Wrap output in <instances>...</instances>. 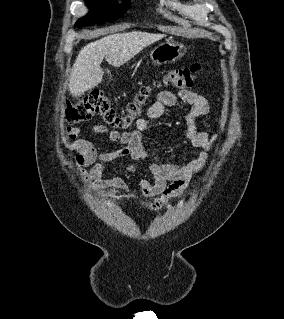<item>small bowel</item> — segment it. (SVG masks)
Wrapping results in <instances>:
<instances>
[{
    "mask_svg": "<svg viewBox=\"0 0 284 319\" xmlns=\"http://www.w3.org/2000/svg\"><path fill=\"white\" fill-rule=\"evenodd\" d=\"M189 105L186 115L184 135L189 143L202 150L200 156L193 162L180 165L175 162L164 161L153 157L149 169L152 180L140 178L139 185L142 194L152 199L140 202V206L151 212H159L168 202L186 190L194 176L203 171L209 163V153L213 150L218 135H210L207 131L197 127V119L210 111L207 99L193 91L181 89L177 94L161 91L154 104L147 112V118H139L135 129L131 132L118 133L104 125H95L93 132L106 136L109 141L121 144V147L104 153H98L94 145L87 139L78 138L80 128H68L66 138L69 141L68 151L76 153L75 167L84 185L93 191L114 190L124 198H130L129 186L119 177L104 179L102 173L107 164L120 158L142 161L150 157L146 150L142 134L148 126V119L156 120L163 116L166 108L177 105ZM224 125V122H222ZM89 167V169H87ZM128 172H134V166H126Z\"/></svg>",
    "mask_w": 284,
    "mask_h": 319,
    "instance_id": "obj_1",
    "label": "small bowel"
}]
</instances>
